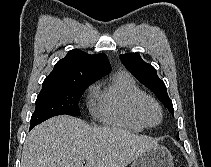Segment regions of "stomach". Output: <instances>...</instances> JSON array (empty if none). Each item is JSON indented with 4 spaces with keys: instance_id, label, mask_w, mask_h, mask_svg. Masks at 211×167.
Returning <instances> with one entry per match:
<instances>
[{
    "instance_id": "obj_1",
    "label": "stomach",
    "mask_w": 211,
    "mask_h": 167,
    "mask_svg": "<svg viewBox=\"0 0 211 167\" xmlns=\"http://www.w3.org/2000/svg\"><path fill=\"white\" fill-rule=\"evenodd\" d=\"M130 167H173V157L166 147L156 145L135 159Z\"/></svg>"
}]
</instances>
